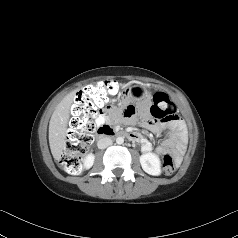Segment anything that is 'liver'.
<instances>
[{"instance_id":"liver-1","label":"liver","mask_w":238,"mask_h":238,"mask_svg":"<svg viewBox=\"0 0 238 238\" xmlns=\"http://www.w3.org/2000/svg\"><path fill=\"white\" fill-rule=\"evenodd\" d=\"M78 90L67 94L55 108L49 122V145L55 160H60L66 146V131L70 107Z\"/></svg>"}]
</instances>
